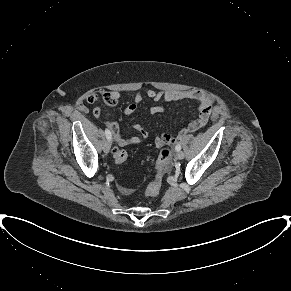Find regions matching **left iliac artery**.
<instances>
[{
    "label": "left iliac artery",
    "instance_id": "44dca946",
    "mask_svg": "<svg viewBox=\"0 0 291 291\" xmlns=\"http://www.w3.org/2000/svg\"><path fill=\"white\" fill-rule=\"evenodd\" d=\"M175 149H176L177 151H180V150H181V145H180V144H177L176 147H175Z\"/></svg>",
    "mask_w": 291,
    "mask_h": 291
}]
</instances>
